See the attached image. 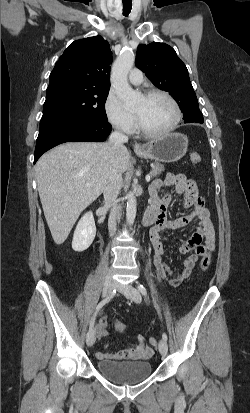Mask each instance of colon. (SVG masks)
Wrapping results in <instances>:
<instances>
[{
  "instance_id": "colon-1",
  "label": "colon",
  "mask_w": 250,
  "mask_h": 413,
  "mask_svg": "<svg viewBox=\"0 0 250 413\" xmlns=\"http://www.w3.org/2000/svg\"><path fill=\"white\" fill-rule=\"evenodd\" d=\"M190 160L193 164H198L201 161V157L198 153H192L190 155ZM211 260H212V254L211 251H207L204 253L202 256L201 262H200V269L202 273H205L208 271L211 265ZM113 328L118 330V334H123V332L127 331V326L125 325L124 322H122L121 316L120 315H115L114 316V321H113ZM100 325L105 329L108 325V319L103 318L100 321ZM149 344L151 347H155L157 344V339L154 337H151L149 339Z\"/></svg>"
}]
</instances>
